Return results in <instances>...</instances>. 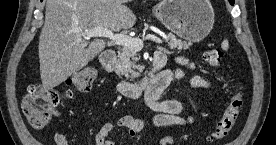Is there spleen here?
<instances>
[{"instance_id": "1", "label": "spleen", "mask_w": 276, "mask_h": 145, "mask_svg": "<svg viewBox=\"0 0 276 145\" xmlns=\"http://www.w3.org/2000/svg\"><path fill=\"white\" fill-rule=\"evenodd\" d=\"M222 48L224 49V50H227L228 49V47H229V43H228V40H223V42H222Z\"/></svg>"}]
</instances>
